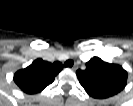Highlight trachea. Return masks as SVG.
Returning a JSON list of instances; mask_svg holds the SVG:
<instances>
[{"label":"trachea","instance_id":"obj_1","mask_svg":"<svg viewBox=\"0 0 133 106\" xmlns=\"http://www.w3.org/2000/svg\"><path fill=\"white\" fill-rule=\"evenodd\" d=\"M74 64V62L72 60H67L65 63H64V66L65 67H72Z\"/></svg>","mask_w":133,"mask_h":106}]
</instances>
